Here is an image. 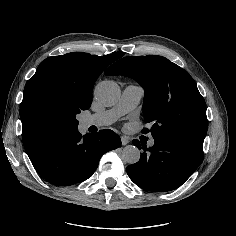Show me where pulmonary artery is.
<instances>
[{
  "instance_id": "e3ab8cb5",
  "label": "pulmonary artery",
  "mask_w": 236,
  "mask_h": 236,
  "mask_svg": "<svg viewBox=\"0 0 236 236\" xmlns=\"http://www.w3.org/2000/svg\"><path fill=\"white\" fill-rule=\"evenodd\" d=\"M144 96V90L136 84L127 85L118 102L109 110L89 115L86 118L87 126H107L114 123L123 114L137 107ZM153 145V141L150 142Z\"/></svg>"
}]
</instances>
